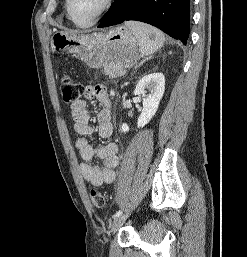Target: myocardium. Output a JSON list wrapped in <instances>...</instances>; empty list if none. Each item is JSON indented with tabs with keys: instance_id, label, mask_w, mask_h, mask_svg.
Instances as JSON below:
<instances>
[{
	"instance_id": "myocardium-1",
	"label": "myocardium",
	"mask_w": 247,
	"mask_h": 257,
	"mask_svg": "<svg viewBox=\"0 0 247 257\" xmlns=\"http://www.w3.org/2000/svg\"><path fill=\"white\" fill-rule=\"evenodd\" d=\"M70 2L71 0H65V9L67 13V17L69 20L77 27L79 28H89L93 25H95L104 15L105 13L111 8L113 5L114 0H104L103 6L98 11V13L87 23H80L78 22L71 14L70 10Z\"/></svg>"
}]
</instances>
